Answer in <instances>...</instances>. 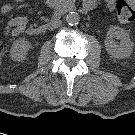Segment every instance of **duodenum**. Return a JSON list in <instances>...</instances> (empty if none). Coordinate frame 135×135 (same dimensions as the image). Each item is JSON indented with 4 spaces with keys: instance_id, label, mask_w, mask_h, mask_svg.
Here are the masks:
<instances>
[{
    "instance_id": "duodenum-1",
    "label": "duodenum",
    "mask_w": 135,
    "mask_h": 135,
    "mask_svg": "<svg viewBox=\"0 0 135 135\" xmlns=\"http://www.w3.org/2000/svg\"><path fill=\"white\" fill-rule=\"evenodd\" d=\"M59 6H63L64 11L65 12H70L73 10H76L77 8L75 7V5H73L70 1L68 2H64L62 4L59 3ZM92 7V4H90L88 1L83 0L79 5H78V9L80 11L85 12L86 10H89ZM34 34H40L41 30L39 29H33L32 31Z\"/></svg>"
}]
</instances>
